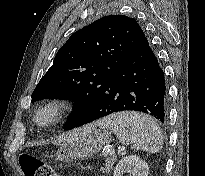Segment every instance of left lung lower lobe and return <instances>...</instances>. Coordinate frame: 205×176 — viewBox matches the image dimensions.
<instances>
[{
    "mask_svg": "<svg viewBox=\"0 0 205 176\" xmlns=\"http://www.w3.org/2000/svg\"><path fill=\"white\" fill-rule=\"evenodd\" d=\"M165 94L164 72L144 37L74 128L125 110L147 113L164 123Z\"/></svg>",
    "mask_w": 205,
    "mask_h": 176,
    "instance_id": "left-lung-lower-lobe-1",
    "label": "left lung lower lobe"
}]
</instances>
